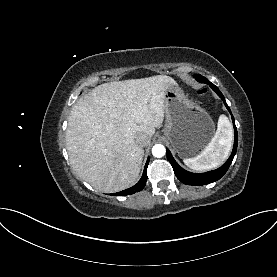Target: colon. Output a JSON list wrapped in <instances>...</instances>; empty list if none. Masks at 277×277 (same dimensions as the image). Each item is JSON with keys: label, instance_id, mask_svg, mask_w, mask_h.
Instances as JSON below:
<instances>
[{"label": "colon", "instance_id": "obj_1", "mask_svg": "<svg viewBox=\"0 0 277 277\" xmlns=\"http://www.w3.org/2000/svg\"><path fill=\"white\" fill-rule=\"evenodd\" d=\"M198 94H199V95H203V94H204V91H203V90H200V91H198Z\"/></svg>", "mask_w": 277, "mask_h": 277}]
</instances>
